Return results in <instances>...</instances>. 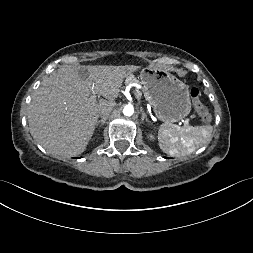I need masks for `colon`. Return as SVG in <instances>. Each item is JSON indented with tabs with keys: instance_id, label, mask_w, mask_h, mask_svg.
Here are the masks:
<instances>
[{
	"instance_id": "5ec220e1",
	"label": "colon",
	"mask_w": 253,
	"mask_h": 253,
	"mask_svg": "<svg viewBox=\"0 0 253 253\" xmlns=\"http://www.w3.org/2000/svg\"><path fill=\"white\" fill-rule=\"evenodd\" d=\"M191 101L196 114L204 121L210 119V113L207 107L200 100V92L198 88L192 87L189 91Z\"/></svg>"
}]
</instances>
